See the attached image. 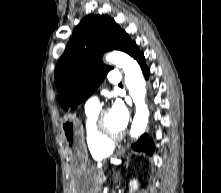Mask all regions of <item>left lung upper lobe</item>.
<instances>
[{
  "label": "left lung upper lobe",
  "mask_w": 221,
  "mask_h": 193,
  "mask_svg": "<svg viewBox=\"0 0 221 193\" xmlns=\"http://www.w3.org/2000/svg\"><path fill=\"white\" fill-rule=\"evenodd\" d=\"M135 42L109 16L88 15L76 26L55 69L58 101L75 109L99 86L112 67L101 62L104 52H129Z\"/></svg>",
  "instance_id": "obj_1"
}]
</instances>
